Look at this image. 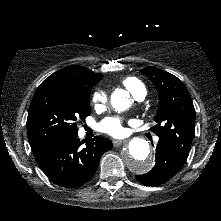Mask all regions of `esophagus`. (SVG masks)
Here are the masks:
<instances>
[{"mask_svg": "<svg viewBox=\"0 0 221 221\" xmlns=\"http://www.w3.org/2000/svg\"><path fill=\"white\" fill-rule=\"evenodd\" d=\"M127 143V140H113V145L114 147H118L122 144H126Z\"/></svg>", "mask_w": 221, "mask_h": 221, "instance_id": "obj_1", "label": "esophagus"}]
</instances>
